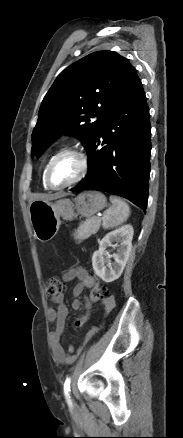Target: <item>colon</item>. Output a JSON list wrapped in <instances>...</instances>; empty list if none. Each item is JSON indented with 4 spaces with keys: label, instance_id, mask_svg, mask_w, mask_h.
<instances>
[{
    "label": "colon",
    "instance_id": "1",
    "mask_svg": "<svg viewBox=\"0 0 183 438\" xmlns=\"http://www.w3.org/2000/svg\"><path fill=\"white\" fill-rule=\"evenodd\" d=\"M45 291L47 297L50 300H53L63 294L64 285L58 278L51 277L46 283ZM106 297H108L107 290L100 284L98 280H96L90 292L88 306L89 304L104 299Z\"/></svg>",
    "mask_w": 183,
    "mask_h": 438
}]
</instances>
